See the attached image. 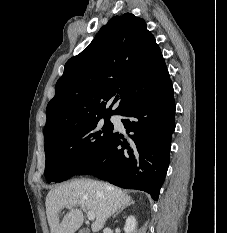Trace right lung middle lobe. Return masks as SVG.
<instances>
[{
    "instance_id": "1",
    "label": "right lung middle lobe",
    "mask_w": 227,
    "mask_h": 233,
    "mask_svg": "<svg viewBox=\"0 0 227 233\" xmlns=\"http://www.w3.org/2000/svg\"><path fill=\"white\" fill-rule=\"evenodd\" d=\"M109 118L86 122L45 144L48 183L71 178L97 157L113 133Z\"/></svg>"
}]
</instances>
